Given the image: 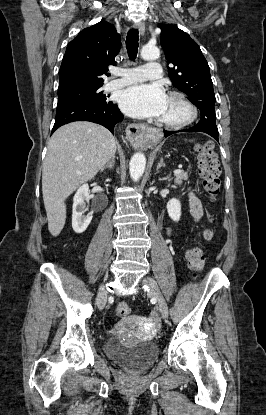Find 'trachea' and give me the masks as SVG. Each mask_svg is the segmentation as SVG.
Listing matches in <instances>:
<instances>
[{"mask_svg": "<svg viewBox=\"0 0 266 415\" xmlns=\"http://www.w3.org/2000/svg\"><path fill=\"white\" fill-rule=\"evenodd\" d=\"M138 29H130L126 37V49L130 59H135L138 52Z\"/></svg>", "mask_w": 266, "mask_h": 415, "instance_id": "trachea-1", "label": "trachea"}]
</instances>
